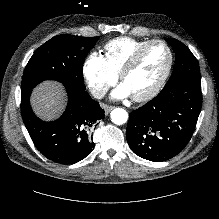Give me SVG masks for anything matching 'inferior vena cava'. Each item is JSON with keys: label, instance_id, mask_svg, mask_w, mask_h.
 Here are the masks:
<instances>
[{"label": "inferior vena cava", "instance_id": "1", "mask_svg": "<svg viewBox=\"0 0 219 219\" xmlns=\"http://www.w3.org/2000/svg\"><path fill=\"white\" fill-rule=\"evenodd\" d=\"M90 92L95 98L101 99L106 95L107 89L102 86H94L90 89Z\"/></svg>", "mask_w": 219, "mask_h": 219}]
</instances>
